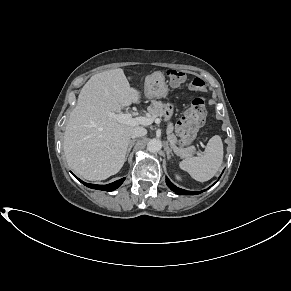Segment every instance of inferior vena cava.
Masks as SVG:
<instances>
[{
	"label": "inferior vena cava",
	"mask_w": 291,
	"mask_h": 291,
	"mask_svg": "<svg viewBox=\"0 0 291 291\" xmlns=\"http://www.w3.org/2000/svg\"><path fill=\"white\" fill-rule=\"evenodd\" d=\"M147 134V130L143 127L137 126L134 127L132 132H131V138H138L142 137Z\"/></svg>",
	"instance_id": "1"
}]
</instances>
